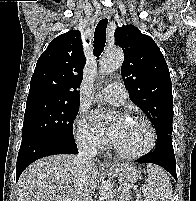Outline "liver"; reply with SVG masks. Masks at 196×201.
I'll use <instances>...</instances> for the list:
<instances>
[{
	"mask_svg": "<svg viewBox=\"0 0 196 201\" xmlns=\"http://www.w3.org/2000/svg\"><path fill=\"white\" fill-rule=\"evenodd\" d=\"M75 157L52 155L29 165L18 180L19 201H81L84 196L91 197L98 168L91 162L78 173Z\"/></svg>",
	"mask_w": 196,
	"mask_h": 201,
	"instance_id": "6515ba94",
	"label": "liver"
}]
</instances>
